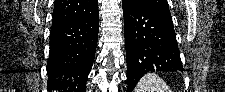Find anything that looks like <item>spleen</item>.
<instances>
[{"label":"spleen","instance_id":"3e777b00","mask_svg":"<svg viewBox=\"0 0 225 92\" xmlns=\"http://www.w3.org/2000/svg\"><path fill=\"white\" fill-rule=\"evenodd\" d=\"M134 92H172L169 86L155 73H147L136 85Z\"/></svg>","mask_w":225,"mask_h":92}]
</instances>
